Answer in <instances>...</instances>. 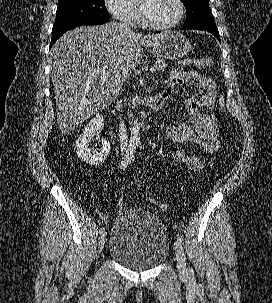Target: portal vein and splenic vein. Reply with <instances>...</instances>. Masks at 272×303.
<instances>
[{
    "instance_id": "1",
    "label": "portal vein and splenic vein",
    "mask_w": 272,
    "mask_h": 303,
    "mask_svg": "<svg viewBox=\"0 0 272 303\" xmlns=\"http://www.w3.org/2000/svg\"><path fill=\"white\" fill-rule=\"evenodd\" d=\"M155 71H156V69H155L154 67L150 69V73H152V74H153ZM101 79L105 80L106 77H102Z\"/></svg>"
}]
</instances>
